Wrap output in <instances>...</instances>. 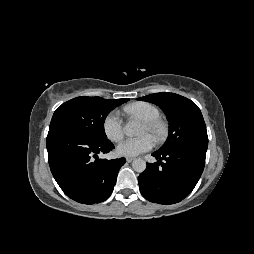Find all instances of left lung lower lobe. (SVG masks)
Returning a JSON list of instances; mask_svg holds the SVG:
<instances>
[{
	"label": "left lung lower lobe",
	"mask_w": 254,
	"mask_h": 254,
	"mask_svg": "<svg viewBox=\"0 0 254 254\" xmlns=\"http://www.w3.org/2000/svg\"><path fill=\"white\" fill-rule=\"evenodd\" d=\"M207 148L196 145L152 154L158 161L147 163L138 177L141 194L158 204H174L187 197L196 186L205 165Z\"/></svg>",
	"instance_id": "0a47b994"
}]
</instances>
